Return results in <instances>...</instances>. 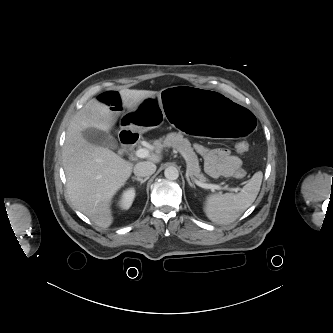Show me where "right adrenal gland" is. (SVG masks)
<instances>
[{
  "label": "right adrenal gland",
  "mask_w": 333,
  "mask_h": 333,
  "mask_svg": "<svg viewBox=\"0 0 333 333\" xmlns=\"http://www.w3.org/2000/svg\"><path fill=\"white\" fill-rule=\"evenodd\" d=\"M132 179L133 180H136V181H139L140 182V184H143L144 182H146L148 179H149V177H146V178H140V177H132Z\"/></svg>",
  "instance_id": "1"
}]
</instances>
